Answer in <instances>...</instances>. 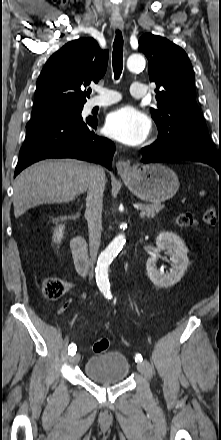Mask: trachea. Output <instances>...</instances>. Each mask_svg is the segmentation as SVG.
Listing matches in <instances>:
<instances>
[{"instance_id":"trachea-1","label":"trachea","mask_w":221,"mask_h":440,"mask_svg":"<svg viewBox=\"0 0 221 440\" xmlns=\"http://www.w3.org/2000/svg\"><path fill=\"white\" fill-rule=\"evenodd\" d=\"M112 64L115 79H119L123 69V37L121 32L116 31L113 43Z\"/></svg>"}]
</instances>
